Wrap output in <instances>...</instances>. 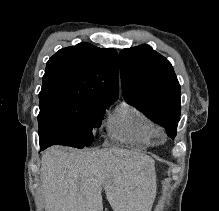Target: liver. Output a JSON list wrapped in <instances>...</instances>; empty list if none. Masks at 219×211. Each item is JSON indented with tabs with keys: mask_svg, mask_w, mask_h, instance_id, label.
<instances>
[{
	"mask_svg": "<svg viewBox=\"0 0 219 211\" xmlns=\"http://www.w3.org/2000/svg\"><path fill=\"white\" fill-rule=\"evenodd\" d=\"M150 167L152 157L123 147H49L39 171L45 211H103L102 189L114 211H150Z\"/></svg>",
	"mask_w": 219,
	"mask_h": 211,
	"instance_id": "obj_1",
	"label": "liver"
}]
</instances>
